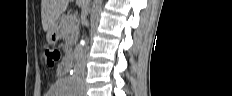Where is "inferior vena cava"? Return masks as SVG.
Returning <instances> with one entry per match:
<instances>
[{
	"instance_id": "1",
	"label": "inferior vena cava",
	"mask_w": 232,
	"mask_h": 96,
	"mask_svg": "<svg viewBox=\"0 0 232 96\" xmlns=\"http://www.w3.org/2000/svg\"><path fill=\"white\" fill-rule=\"evenodd\" d=\"M89 0H84L83 4H82V16H87L88 14V10H89ZM85 49H87V45L85 46ZM86 51V50H84ZM84 53V52H83Z\"/></svg>"
}]
</instances>
